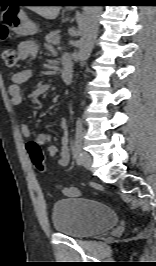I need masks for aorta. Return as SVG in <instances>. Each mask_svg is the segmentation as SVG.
<instances>
[{
	"instance_id": "obj_1",
	"label": "aorta",
	"mask_w": 156,
	"mask_h": 266,
	"mask_svg": "<svg viewBox=\"0 0 156 266\" xmlns=\"http://www.w3.org/2000/svg\"><path fill=\"white\" fill-rule=\"evenodd\" d=\"M101 6H85L81 22L82 36L79 41L78 60L82 65L90 56L98 32Z\"/></svg>"
}]
</instances>
